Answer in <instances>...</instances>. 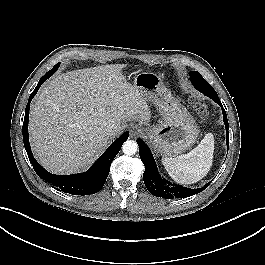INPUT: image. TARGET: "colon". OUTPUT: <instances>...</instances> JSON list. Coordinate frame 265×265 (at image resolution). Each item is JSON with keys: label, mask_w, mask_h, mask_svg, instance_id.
<instances>
[{"label": "colon", "mask_w": 265, "mask_h": 265, "mask_svg": "<svg viewBox=\"0 0 265 265\" xmlns=\"http://www.w3.org/2000/svg\"><path fill=\"white\" fill-rule=\"evenodd\" d=\"M193 110L200 120L206 119L209 113L208 107L203 102L199 101H193Z\"/></svg>", "instance_id": "obj_1"}]
</instances>
